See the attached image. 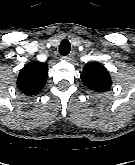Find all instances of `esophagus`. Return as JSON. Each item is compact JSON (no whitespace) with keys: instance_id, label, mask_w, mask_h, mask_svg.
Returning <instances> with one entry per match:
<instances>
[{"instance_id":"esophagus-1","label":"esophagus","mask_w":135,"mask_h":165,"mask_svg":"<svg viewBox=\"0 0 135 165\" xmlns=\"http://www.w3.org/2000/svg\"><path fill=\"white\" fill-rule=\"evenodd\" d=\"M74 57V52H71L69 55H64L62 58L66 61H71Z\"/></svg>"}]
</instances>
